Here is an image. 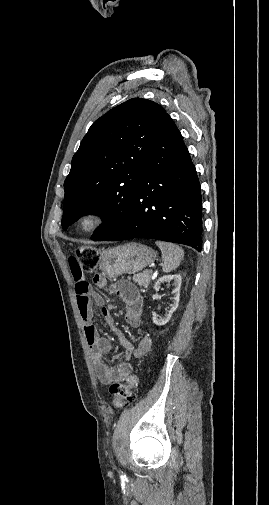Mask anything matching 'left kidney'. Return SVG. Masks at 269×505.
Wrapping results in <instances>:
<instances>
[{"mask_svg": "<svg viewBox=\"0 0 269 505\" xmlns=\"http://www.w3.org/2000/svg\"><path fill=\"white\" fill-rule=\"evenodd\" d=\"M172 280L174 281V285H175V288L172 292L174 294V301H173V304L171 305L170 311H168L165 314V316L159 317V318L154 316L152 318L153 323L157 326H163V325L167 324L170 321L172 314L176 311L178 304H179V299H180V288H181L182 278H181V275H179V274L165 275V276H162L161 278H159L154 285V289L156 291H158L160 289V286L162 283L170 282Z\"/></svg>", "mask_w": 269, "mask_h": 505, "instance_id": "1", "label": "left kidney"}]
</instances>
